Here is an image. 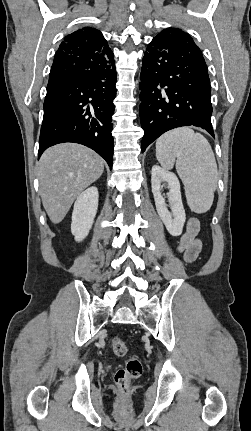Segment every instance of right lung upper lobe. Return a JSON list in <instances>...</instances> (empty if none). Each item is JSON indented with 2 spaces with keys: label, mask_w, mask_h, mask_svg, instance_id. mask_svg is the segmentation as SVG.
<instances>
[{
  "label": "right lung upper lobe",
  "mask_w": 251,
  "mask_h": 431,
  "mask_svg": "<svg viewBox=\"0 0 251 431\" xmlns=\"http://www.w3.org/2000/svg\"><path fill=\"white\" fill-rule=\"evenodd\" d=\"M87 48L94 49L106 57L113 55L102 33L91 27H85L67 35L58 50L74 54Z\"/></svg>",
  "instance_id": "right-lung-upper-lobe-1"
}]
</instances>
